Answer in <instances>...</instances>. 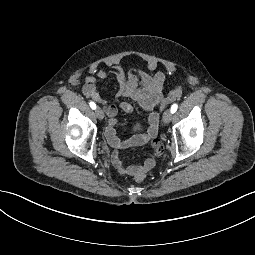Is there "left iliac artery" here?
<instances>
[{"mask_svg": "<svg viewBox=\"0 0 255 255\" xmlns=\"http://www.w3.org/2000/svg\"><path fill=\"white\" fill-rule=\"evenodd\" d=\"M177 108H178V105L177 104H173L172 107H171V112L175 113Z\"/></svg>", "mask_w": 255, "mask_h": 255, "instance_id": "1", "label": "left iliac artery"}]
</instances>
